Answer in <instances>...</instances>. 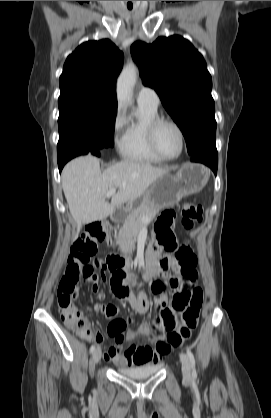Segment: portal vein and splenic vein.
Here are the masks:
<instances>
[{
	"label": "portal vein and splenic vein",
	"instance_id": "18ae733b",
	"mask_svg": "<svg viewBox=\"0 0 271 418\" xmlns=\"http://www.w3.org/2000/svg\"><path fill=\"white\" fill-rule=\"evenodd\" d=\"M116 192V188H111L107 191L106 196L110 197Z\"/></svg>",
	"mask_w": 271,
	"mask_h": 418
}]
</instances>
